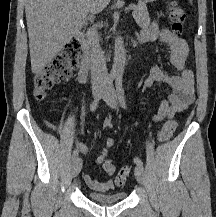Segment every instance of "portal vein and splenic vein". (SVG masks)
I'll return each mask as SVG.
<instances>
[{
	"label": "portal vein and splenic vein",
	"mask_w": 216,
	"mask_h": 217,
	"mask_svg": "<svg viewBox=\"0 0 216 217\" xmlns=\"http://www.w3.org/2000/svg\"><path fill=\"white\" fill-rule=\"evenodd\" d=\"M134 5H129V9L134 10Z\"/></svg>",
	"instance_id": "18ae733b"
}]
</instances>
